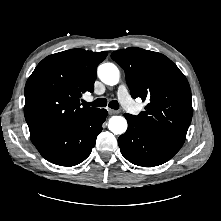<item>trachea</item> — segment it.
<instances>
[{"instance_id": "3493384b", "label": "trachea", "mask_w": 221, "mask_h": 221, "mask_svg": "<svg viewBox=\"0 0 221 221\" xmlns=\"http://www.w3.org/2000/svg\"><path fill=\"white\" fill-rule=\"evenodd\" d=\"M85 105H90V106H95V107H105L107 106V100L105 98H98L95 101L91 102V103H84ZM108 106L112 109H119V103L116 100H112L109 102Z\"/></svg>"}]
</instances>
